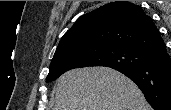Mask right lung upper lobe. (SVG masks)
I'll return each instance as SVG.
<instances>
[{"label":"right lung upper lobe","instance_id":"obj_1","mask_svg":"<svg viewBox=\"0 0 171 110\" xmlns=\"http://www.w3.org/2000/svg\"><path fill=\"white\" fill-rule=\"evenodd\" d=\"M164 44L140 6L116 1L81 16L63 35L54 56L88 46L127 47L149 54Z\"/></svg>","mask_w":171,"mask_h":110}]
</instances>
